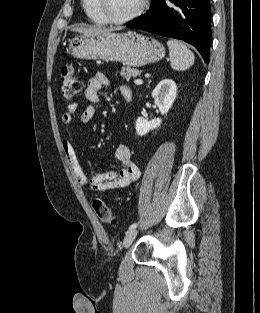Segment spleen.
I'll return each mask as SVG.
<instances>
[{
	"instance_id": "1",
	"label": "spleen",
	"mask_w": 260,
	"mask_h": 313,
	"mask_svg": "<svg viewBox=\"0 0 260 313\" xmlns=\"http://www.w3.org/2000/svg\"><path fill=\"white\" fill-rule=\"evenodd\" d=\"M167 46L169 49L172 69L184 71L194 64V54L184 43L176 40H169Z\"/></svg>"
}]
</instances>
